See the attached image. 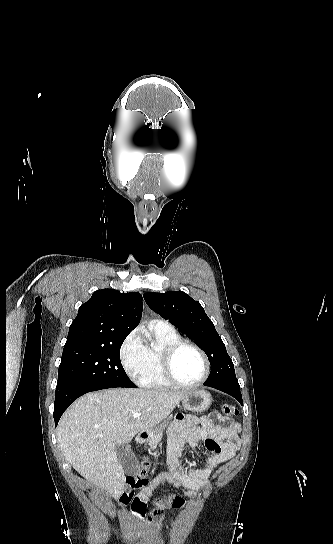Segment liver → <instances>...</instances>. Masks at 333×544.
<instances>
[{"instance_id":"liver-1","label":"liver","mask_w":333,"mask_h":544,"mask_svg":"<svg viewBox=\"0 0 333 544\" xmlns=\"http://www.w3.org/2000/svg\"><path fill=\"white\" fill-rule=\"evenodd\" d=\"M187 394L176 390L114 388L88 393L62 415L57 442L65 459L89 482L115 499L125 474L116 446L166 419ZM141 413L139 418H132Z\"/></svg>"}]
</instances>
